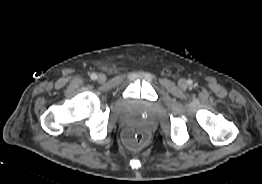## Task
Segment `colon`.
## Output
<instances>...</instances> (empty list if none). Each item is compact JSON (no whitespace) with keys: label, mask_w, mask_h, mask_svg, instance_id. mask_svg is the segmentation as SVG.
Segmentation results:
<instances>
[{"label":"colon","mask_w":262,"mask_h":184,"mask_svg":"<svg viewBox=\"0 0 262 184\" xmlns=\"http://www.w3.org/2000/svg\"><path fill=\"white\" fill-rule=\"evenodd\" d=\"M148 140L146 133L137 130H130L126 133L125 144L131 149L143 147Z\"/></svg>","instance_id":"colon-1"}]
</instances>
